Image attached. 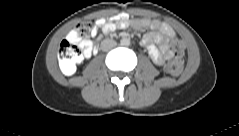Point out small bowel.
I'll list each match as a JSON object with an SVG mask.
<instances>
[{
  "label": "small bowel",
  "mask_w": 239,
  "mask_h": 136,
  "mask_svg": "<svg viewBox=\"0 0 239 136\" xmlns=\"http://www.w3.org/2000/svg\"><path fill=\"white\" fill-rule=\"evenodd\" d=\"M130 26L137 30H150V33L141 39V45L146 49L154 64L161 66L173 56L169 42L176 37V33L165 22L147 18L129 19L125 16L120 17L117 22H109L102 18L97 20V27L104 33H110L117 28L124 29ZM97 32L98 30L96 29L93 35H96ZM68 38L79 45L84 58H89L92 55L94 48L93 41L79 39L75 31H71L68 34Z\"/></svg>",
  "instance_id": "c3829d8e"
}]
</instances>
